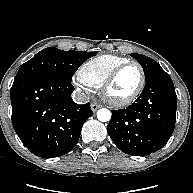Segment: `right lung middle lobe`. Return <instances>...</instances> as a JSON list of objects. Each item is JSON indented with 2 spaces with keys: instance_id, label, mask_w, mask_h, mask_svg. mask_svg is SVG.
Listing matches in <instances>:
<instances>
[{
  "instance_id": "obj_1",
  "label": "right lung middle lobe",
  "mask_w": 193,
  "mask_h": 193,
  "mask_svg": "<svg viewBox=\"0 0 193 193\" xmlns=\"http://www.w3.org/2000/svg\"><path fill=\"white\" fill-rule=\"evenodd\" d=\"M96 55L85 51H63L48 47L24 63L15 79L29 75H46L72 81V75L88 58Z\"/></svg>"
}]
</instances>
